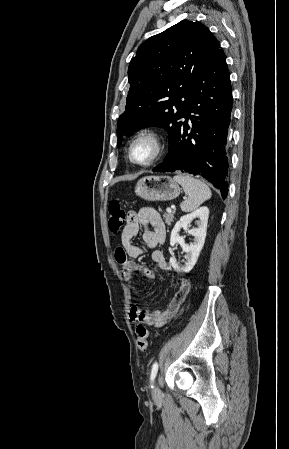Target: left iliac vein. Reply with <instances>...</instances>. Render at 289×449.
<instances>
[{"label": "left iliac vein", "mask_w": 289, "mask_h": 449, "mask_svg": "<svg viewBox=\"0 0 289 449\" xmlns=\"http://www.w3.org/2000/svg\"><path fill=\"white\" fill-rule=\"evenodd\" d=\"M152 394L154 398H157L160 396V389L158 387V385L156 383H154L153 389H152Z\"/></svg>", "instance_id": "left-iliac-vein-1"}]
</instances>
